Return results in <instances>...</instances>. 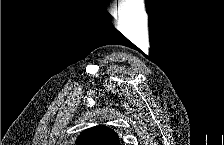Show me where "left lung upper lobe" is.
<instances>
[{
  "label": "left lung upper lobe",
  "instance_id": "obj_1",
  "mask_svg": "<svg viewBox=\"0 0 224 145\" xmlns=\"http://www.w3.org/2000/svg\"><path fill=\"white\" fill-rule=\"evenodd\" d=\"M77 145H120L118 135L109 127L95 126L81 133Z\"/></svg>",
  "mask_w": 224,
  "mask_h": 145
}]
</instances>
